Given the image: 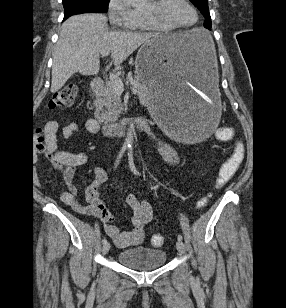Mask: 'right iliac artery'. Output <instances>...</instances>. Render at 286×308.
Instances as JSON below:
<instances>
[{
	"instance_id": "1",
	"label": "right iliac artery",
	"mask_w": 286,
	"mask_h": 308,
	"mask_svg": "<svg viewBox=\"0 0 286 308\" xmlns=\"http://www.w3.org/2000/svg\"><path fill=\"white\" fill-rule=\"evenodd\" d=\"M125 150H126V146H123V147L121 148V150H120L118 156H117V160H116V163H115V168L117 167V165H118V163H119L121 157L123 156ZM105 243H107V239L104 237V238L102 239V244H105Z\"/></svg>"
}]
</instances>
